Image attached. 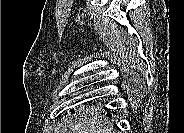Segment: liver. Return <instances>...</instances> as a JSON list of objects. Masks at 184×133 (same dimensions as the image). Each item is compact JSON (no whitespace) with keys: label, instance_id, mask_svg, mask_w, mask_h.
Here are the masks:
<instances>
[{"label":"liver","instance_id":"obj_1","mask_svg":"<svg viewBox=\"0 0 184 133\" xmlns=\"http://www.w3.org/2000/svg\"><path fill=\"white\" fill-rule=\"evenodd\" d=\"M62 133H111L104 121L96 113L75 112L63 119Z\"/></svg>","mask_w":184,"mask_h":133}]
</instances>
